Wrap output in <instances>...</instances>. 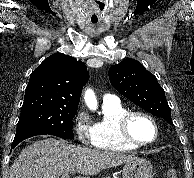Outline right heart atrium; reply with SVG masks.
<instances>
[{"label": "right heart atrium", "mask_w": 194, "mask_h": 178, "mask_svg": "<svg viewBox=\"0 0 194 178\" xmlns=\"http://www.w3.org/2000/svg\"><path fill=\"white\" fill-rule=\"evenodd\" d=\"M73 129L78 141L83 146L93 145V126L88 113L79 109L73 117Z\"/></svg>", "instance_id": "d8ad5b80"}]
</instances>
